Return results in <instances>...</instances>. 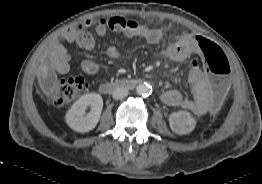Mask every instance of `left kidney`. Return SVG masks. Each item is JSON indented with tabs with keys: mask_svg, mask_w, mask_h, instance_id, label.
<instances>
[{
	"mask_svg": "<svg viewBox=\"0 0 262 184\" xmlns=\"http://www.w3.org/2000/svg\"><path fill=\"white\" fill-rule=\"evenodd\" d=\"M169 125L174 133L185 135L194 130L196 120L188 111H178L170 114Z\"/></svg>",
	"mask_w": 262,
	"mask_h": 184,
	"instance_id": "5707ae66",
	"label": "left kidney"
}]
</instances>
